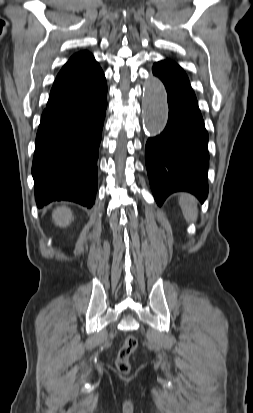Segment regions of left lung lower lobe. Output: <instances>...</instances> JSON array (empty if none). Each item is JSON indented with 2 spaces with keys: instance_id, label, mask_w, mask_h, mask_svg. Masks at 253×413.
<instances>
[{
  "instance_id": "0a47b994",
  "label": "left lung lower lobe",
  "mask_w": 253,
  "mask_h": 413,
  "mask_svg": "<svg viewBox=\"0 0 253 413\" xmlns=\"http://www.w3.org/2000/svg\"><path fill=\"white\" fill-rule=\"evenodd\" d=\"M152 71L165 85L169 106L164 131L149 138L145 148L154 198L160 206L171 193L187 191L203 202L208 195V133L195 93L175 62H157Z\"/></svg>"
}]
</instances>
